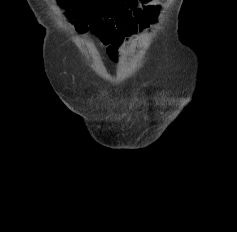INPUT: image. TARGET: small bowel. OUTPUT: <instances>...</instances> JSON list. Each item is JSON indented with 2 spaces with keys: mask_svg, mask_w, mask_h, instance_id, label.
<instances>
[{
  "mask_svg": "<svg viewBox=\"0 0 237 232\" xmlns=\"http://www.w3.org/2000/svg\"><path fill=\"white\" fill-rule=\"evenodd\" d=\"M160 7L159 0H145L137 8L123 15L105 20L95 32L99 34L108 56L118 60L119 48L123 42L138 31L148 30L156 22Z\"/></svg>",
  "mask_w": 237,
  "mask_h": 232,
  "instance_id": "small-bowel-1",
  "label": "small bowel"
}]
</instances>
